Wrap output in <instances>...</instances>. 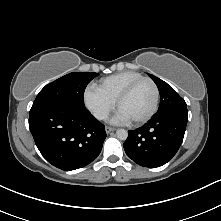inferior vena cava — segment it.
I'll return each instance as SVG.
<instances>
[{
  "label": "inferior vena cava",
  "mask_w": 221,
  "mask_h": 221,
  "mask_svg": "<svg viewBox=\"0 0 221 221\" xmlns=\"http://www.w3.org/2000/svg\"><path fill=\"white\" fill-rule=\"evenodd\" d=\"M109 113L105 110H97L94 113V116L99 120H105L108 118Z\"/></svg>",
  "instance_id": "1"
}]
</instances>
